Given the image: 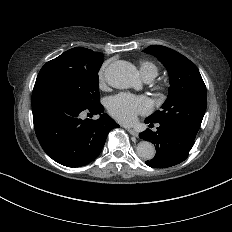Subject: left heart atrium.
<instances>
[{"label":"left heart atrium","instance_id":"1","mask_svg":"<svg viewBox=\"0 0 232 232\" xmlns=\"http://www.w3.org/2000/svg\"><path fill=\"white\" fill-rule=\"evenodd\" d=\"M108 110L119 122L133 123L139 114L148 113L149 102L144 97H135L129 94H119L110 99Z\"/></svg>","mask_w":232,"mask_h":232}]
</instances>
